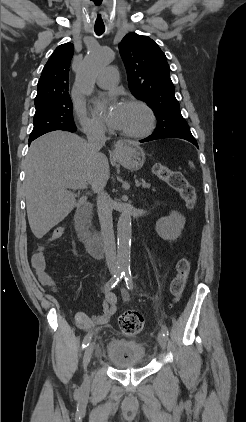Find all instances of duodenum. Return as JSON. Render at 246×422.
I'll use <instances>...</instances> for the list:
<instances>
[{"label":"duodenum","instance_id":"duodenum-1","mask_svg":"<svg viewBox=\"0 0 246 422\" xmlns=\"http://www.w3.org/2000/svg\"><path fill=\"white\" fill-rule=\"evenodd\" d=\"M91 212V205L86 204L79 209L75 216V229L86 245L90 253L95 257H102L104 255V246L100 235L93 231L89 225V215Z\"/></svg>","mask_w":246,"mask_h":422}]
</instances>
